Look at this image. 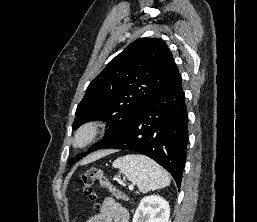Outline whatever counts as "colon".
I'll return each instance as SVG.
<instances>
[{
    "label": "colon",
    "mask_w": 257,
    "mask_h": 222,
    "mask_svg": "<svg viewBox=\"0 0 257 222\" xmlns=\"http://www.w3.org/2000/svg\"><path fill=\"white\" fill-rule=\"evenodd\" d=\"M80 180L83 184V192L89 199L96 201L98 198L94 185L99 182L103 187L108 189L116 198L124 200L125 194L117 188L106 176V174L96 168H90L80 173Z\"/></svg>",
    "instance_id": "1"
}]
</instances>
